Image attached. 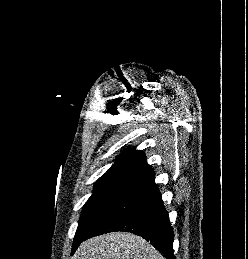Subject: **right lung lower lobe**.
I'll list each match as a JSON object with an SVG mask.
<instances>
[{
  "mask_svg": "<svg viewBox=\"0 0 248 259\" xmlns=\"http://www.w3.org/2000/svg\"><path fill=\"white\" fill-rule=\"evenodd\" d=\"M125 231L142 236L158 249L166 259L173 255L174 233L154 175L131 186L101 218L96 226L73 245L103 233Z\"/></svg>",
  "mask_w": 248,
  "mask_h": 259,
  "instance_id": "obj_1",
  "label": "right lung lower lobe"
}]
</instances>
